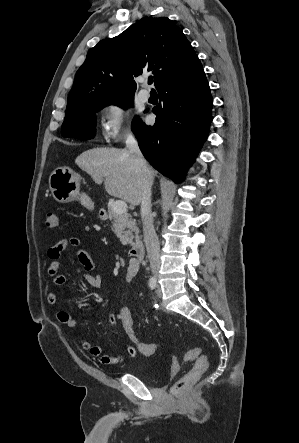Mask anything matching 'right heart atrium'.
<instances>
[{
    "mask_svg": "<svg viewBox=\"0 0 299 443\" xmlns=\"http://www.w3.org/2000/svg\"><path fill=\"white\" fill-rule=\"evenodd\" d=\"M99 128L102 138L116 142L131 134L125 105L116 99L103 102L99 108Z\"/></svg>",
    "mask_w": 299,
    "mask_h": 443,
    "instance_id": "d8ad5b80",
    "label": "right heart atrium"
}]
</instances>
